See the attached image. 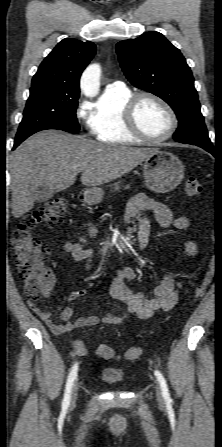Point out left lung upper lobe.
Masks as SVG:
<instances>
[{
    "label": "left lung upper lobe",
    "instance_id": "left-lung-upper-lobe-1",
    "mask_svg": "<svg viewBox=\"0 0 222 447\" xmlns=\"http://www.w3.org/2000/svg\"><path fill=\"white\" fill-rule=\"evenodd\" d=\"M116 50L127 79L151 92L174 110L179 127L174 139L193 145H211L200 111L197 91L185 58L161 33L147 32L136 39L120 41Z\"/></svg>",
    "mask_w": 222,
    "mask_h": 447
}]
</instances>
